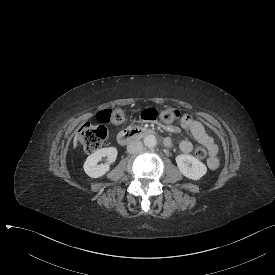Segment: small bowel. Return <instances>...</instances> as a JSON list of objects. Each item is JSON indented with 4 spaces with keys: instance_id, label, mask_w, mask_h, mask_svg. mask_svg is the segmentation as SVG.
I'll list each match as a JSON object with an SVG mask.
<instances>
[{
    "instance_id": "small-bowel-1",
    "label": "small bowel",
    "mask_w": 275,
    "mask_h": 275,
    "mask_svg": "<svg viewBox=\"0 0 275 275\" xmlns=\"http://www.w3.org/2000/svg\"><path fill=\"white\" fill-rule=\"evenodd\" d=\"M179 129H184L189 131L193 138L202 146L206 147L210 153V157L207 160V166L211 170H215L219 166V159L217 157V145L215 144L213 138L206 132L204 126L198 120L192 118L190 115H185L179 122L177 126H168V130L172 133L179 131ZM174 145L173 141L170 139V144L168 147ZM179 149L184 154H189L193 150V144L189 140H183L179 143Z\"/></svg>"
}]
</instances>
